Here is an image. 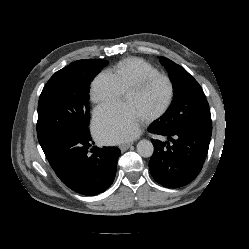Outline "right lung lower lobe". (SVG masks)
I'll return each mask as SVG.
<instances>
[{"instance_id":"1","label":"right lung lower lobe","mask_w":249,"mask_h":249,"mask_svg":"<svg viewBox=\"0 0 249 249\" xmlns=\"http://www.w3.org/2000/svg\"><path fill=\"white\" fill-rule=\"evenodd\" d=\"M90 134L64 136L42 147L59 179L77 193L93 196L104 192L113 183L120 156L117 147L88 149Z\"/></svg>"}]
</instances>
